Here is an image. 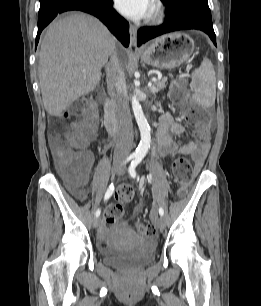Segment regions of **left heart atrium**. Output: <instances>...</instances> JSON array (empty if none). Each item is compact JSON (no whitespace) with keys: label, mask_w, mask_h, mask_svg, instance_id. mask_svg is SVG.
<instances>
[{"label":"left heart atrium","mask_w":261,"mask_h":306,"mask_svg":"<svg viewBox=\"0 0 261 306\" xmlns=\"http://www.w3.org/2000/svg\"><path fill=\"white\" fill-rule=\"evenodd\" d=\"M116 9L132 19L143 18L152 9V0H115Z\"/></svg>","instance_id":"39dd6f15"}]
</instances>
